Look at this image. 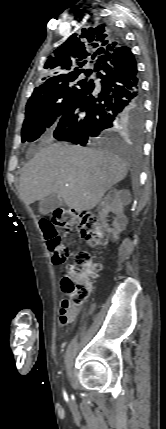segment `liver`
<instances>
[{
    "label": "liver",
    "instance_id": "liver-1",
    "mask_svg": "<svg viewBox=\"0 0 166 429\" xmlns=\"http://www.w3.org/2000/svg\"><path fill=\"white\" fill-rule=\"evenodd\" d=\"M127 171L126 162L108 150L51 144L22 169L19 193L26 205L55 194L69 208L88 211Z\"/></svg>",
    "mask_w": 166,
    "mask_h": 429
}]
</instances>
